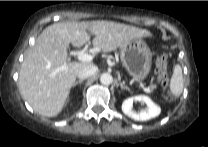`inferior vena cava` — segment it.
<instances>
[{"instance_id": "602c4592", "label": "inferior vena cava", "mask_w": 208, "mask_h": 147, "mask_svg": "<svg viewBox=\"0 0 208 147\" xmlns=\"http://www.w3.org/2000/svg\"><path fill=\"white\" fill-rule=\"evenodd\" d=\"M97 70V66L93 64L87 65L77 72V76L79 79H86L90 76H93L97 72Z\"/></svg>"}]
</instances>
